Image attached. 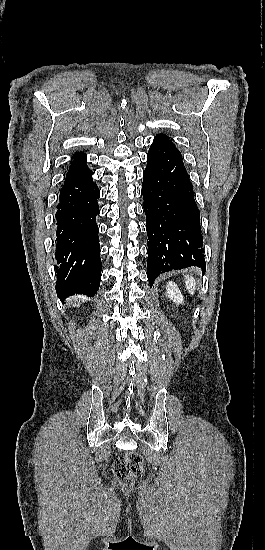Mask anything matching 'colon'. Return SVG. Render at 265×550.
Here are the masks:
<instances>
[{"instance_id":"5ec220e1","label":"colon","mask_w":265,"mask_h":550,"mask_svg":"<svg viewBox=\"0 0 265 550\" xmlns=\"http://www.w3.org/2000/svg\"><path fill=\"white\" fill-rule=\"evenodd\" d=\"M112 471L120 483L130 484L142 476L144 471L143 459L136 452L127 453L115 460Z\"/></svg>"}]
</instances>
